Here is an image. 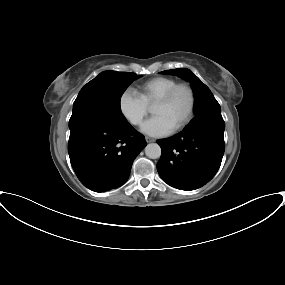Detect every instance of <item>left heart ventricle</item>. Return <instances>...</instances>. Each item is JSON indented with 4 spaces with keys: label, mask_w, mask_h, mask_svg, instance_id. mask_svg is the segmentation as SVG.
Here are the masks:
<instances>
[{
    "label": "left heart ventricle",
    "mask_w": 285,
    "mask_h": 285,
    "mask_svg": "<svg viewBox=\"0 0 285 285\" xmlns=\"http://www.w3.org/2000/svg\"><path fill=\"white\" fill-rule=\"evenodd\" d=\"M190 106V97L186 90H179L170 103L162 106H154V116L163 117L172 128H175L183 121L188 113Z\"/></svg>",
    "instance_id": "b2bd125f"
}]
</instances>
